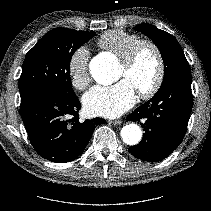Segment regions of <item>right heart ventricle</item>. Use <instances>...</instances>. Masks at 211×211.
Here are the masks:
<instances>
[{"label": "right heart ventricle", "mask_w": 211, "mask_h": 211, "mask_svg": "<svg viewBox=\"0 0 211 211\" xmlns=\"http://www.w3.org/2000/svg\"><path fill=\"white\" fill-rule=\"evenodd\" d=\"M140 40L136 34L123 30H110L105 32L97 41L102 49L122 59L129 49Z\"/></svg>", "instance_id": "e07e8e85"}]
</instances>
